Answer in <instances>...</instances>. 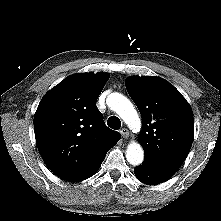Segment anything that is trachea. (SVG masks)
I'll return each mask as SVG.
<instances>
[{"label":"trachea","mask_w":221,"mask_h":221,"mask_svg":"<svg viewBox=\"0 0 221 221\" xmlns=\"http://www.w3.org/2000/svg\"><path fill=\"white\" fill-rule=\"evenodd\" d=\"M107 125L114 130H118L121 127V121L118 117L111 116L107 121Z\"/></svg>","instance_id":"obj_1"}]
</instances>
